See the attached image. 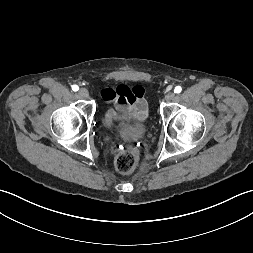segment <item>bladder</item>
I'll list each match as a JSON object with an SVG mask.
<instances>
[{
	"mask_svg": "<svg viewBox=\"0 0 253 253\" xmlns=\"http://www.w3.org/2000/svg\"><path fill=\"white\" fill-rule=\"evenodd\" d=\"M146 131V125L126 127L122 131V135L129 140H138L145 135Z\"/></svg>",
	"mask_w": 253,
	"mask_h": 253,
	"instance_id": "1",
	"label": "bladder"
}]
</instances>
